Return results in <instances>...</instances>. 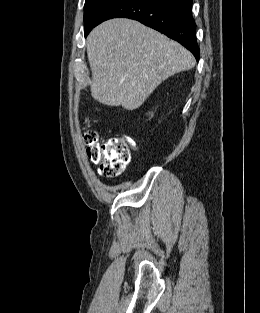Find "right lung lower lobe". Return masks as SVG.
Listing matches in <instances>:
<instances>
[{
	"instance_id": "obj_1",
	"label": "right lung lower lobe",
	"mask_w": 260,
	"mask_h": 313,
	"mask_svg": "<svg viewBox=\"0 0 260 313\" xmlns=\"http://www.w3.org/2000/svg\"><path fill=\"white\" fill-rule=\"evenodd\" d=\"M193 0H117L99 19L101 22L117 17L138 20L178 41L199 60Z\"/></svg>"
}]
</instances>
